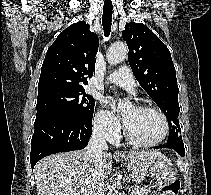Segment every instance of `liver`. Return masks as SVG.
I'll use <instances>...</instances> for the list:
<instances>
[{
  "label": "liver",
  "mask_w": 211,
  "mask_h": 195,
  "mask_svg": "<svg viewBox=\"0 0 211 195\" xmlns=\"http://www.w3.org/2000/svg\"><path fill=\"white\" fill-rule=\"evenodd\" d=\"M87 150L60 152L41 159L34 167L37 195H87L93 164L86 158ZM157 150L127 155L129 166H145V160L161 156ZM112 155L102 154V173L107 178L112 170ZM129 169V168H128Z\"/></svg>",
  "instance_id": "1"
}]
</instances>
